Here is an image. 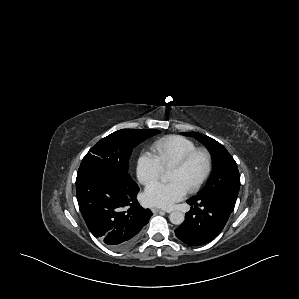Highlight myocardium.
I'll return each instance as SVG.
<instances>
[{"instance_id":"1","label":"myocardium","mask_w":299,"mask_h":299,"mask_svg":"<svg viewBox=\"0 0 299 299\" xmlns=\"http://www.w3.org/2000/svg\"><path fill=\"white\" fill-rule=\"evenodd\" d=\"M197 155L204 156L206 165H205V170H204L203 174L201 175V177L198 179V181L194 185H192L191 187H189L187 189V191L190 193L198 191L203 186V184L207 181V179L209 178V176L212 172L213 159H212V155H211L210 151L206 148H196V149L190 151L189 153H187L185 156H183L178 162H176L170 168V170H183L190 164V162Z\"/></svg>"}]
</instances>
